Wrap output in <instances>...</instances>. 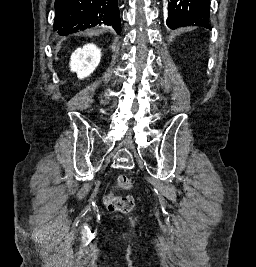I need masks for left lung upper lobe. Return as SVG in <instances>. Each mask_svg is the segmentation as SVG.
<instances>
[{
    "label": "left lung upper lobe",
    "mask_w": 256,
    "mask_h": 267,
    "mask_svg": "<svg viewBox=\"0 0 256 267\" xmlns=\"http://www.w3.org/2000/svg\"><path fill=\"white\" fill-rule=\"evenodd\" d=\"M210 0H175L173 16L186 26H201L211 29L209 23ZM169 17V12H168Z\"/></svg>",
    "instance_id": "obj_1"
}]
</instances>
